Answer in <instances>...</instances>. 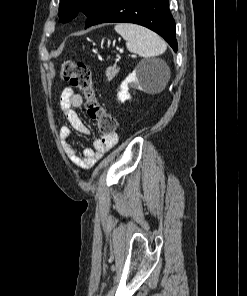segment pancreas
Listing matches in <instances>:
<instances>
[{
	"instance_id": "obj_1",
	"label": "pancreas",
	"mask_w": 247,
	"mask_h": 296,
	"mask_svg": "<svg viewBox=\"0 0 247 296\" xmlns=\"http://www.w3.org/2000/svg\"><path fill=\"white\" fill-rule=\"evenodd\" d=\"M118 72H119V68H117L116 65L108 67L106 69L107 80L111 81Z\"/></svg>"
}]
</instances>
